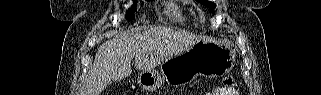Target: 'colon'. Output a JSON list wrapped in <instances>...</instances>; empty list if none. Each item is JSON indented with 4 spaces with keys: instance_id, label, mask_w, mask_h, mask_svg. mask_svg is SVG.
<instances>
[{
    "instance_id": "obj_1",
    "label": "colon",
    "mask_w": 321,
    "mask_h": 95,
    "mask_svg": "<svg viewBox=\"0 0 321 95\" xmlns=\"http://www.w3.org/2000/svg\"><path fill=\"white\" fill-rule=\"evenodd\" d=\"M223 84L226 87H234V86H236L237 82H236V79L233 76H225L223 78Z\"/></svg>"
}]
</instances>
